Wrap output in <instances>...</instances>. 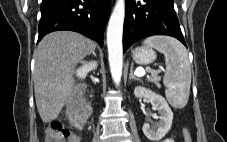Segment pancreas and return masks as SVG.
Instances as JSON below:
<instances>
[{
  "instance_id": "obj_1",
  "label": "pancreas",
  "mask_w": 227,
  "mask_h": 142,
  "mask_svg": "<svg viewBox=\"0 0 227 142\" xmlns=\"http://www.w3.org/2000/svg\"><path fill=\"white\" fill-rule=\"evenodd\" d=\"M160 80H161V78L159 76H157V74H151V76L148 77V81L156 84L157 86H159Z\"/></svg>"
}]
</instances>
